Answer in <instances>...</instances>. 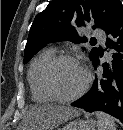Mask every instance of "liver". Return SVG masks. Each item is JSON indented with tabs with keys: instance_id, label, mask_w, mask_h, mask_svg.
<instances>
[{
	"instance_id": "obj_1",
	"label": "liver",
	"mask_w": 123,
	"mask_h": 130,
	"mask_svg": "<svg viewBox=\"0 0 123 130\" xmlns=\"http://www.w3.org/2000/svg\"><path fill=\"white\" fill-rule=\"evenodd\" d=\"M79 115V112L69 106L40 105L33 106L26 114L23 130H54L63 122Z\"/></svg>"
}]
</instances>
